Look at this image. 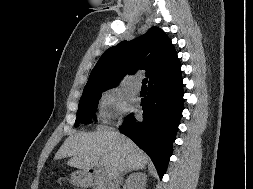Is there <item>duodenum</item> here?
<instances>
[{"label": "duodenum", "mask_w": 253, "mask_h": 189, "mask_svg": "<svg viewBox=\"0 0 253 189\" xmlns=\"http://www.w3.org/2000/svg\"><path fill=\"white\" fill-rule=\"evenodd\" d=\"M78 182L83 187L97 186L99 189H111V184L107 176L96 169H88L80 172Z\"/></svg>", "instance_id": "obj_1"}]
</instances>
